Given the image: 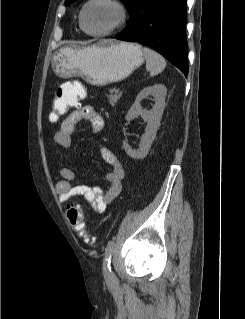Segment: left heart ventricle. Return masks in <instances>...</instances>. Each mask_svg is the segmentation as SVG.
<instances>
[{
	"instance_id": "left-heart-ventricle-1",
	"label": "left heart ventricle",
	"mask_w": 245,
	"mask_h": 319,
	"mask_svg": "<svg viewBox=\"0 0 245 319\" xmlns=\"http://www.w3.org/2000/svg\"><path fill=\"white\" fill-rule=\"evenodd\" d=\"M118 19V12L107 4H93L85 14V27L90 32H99L108 29Z\"/></svg>"
}]
</instances>
